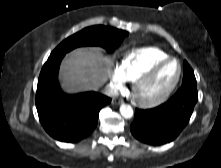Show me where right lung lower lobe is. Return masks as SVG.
I'll return each mask as SVG.
<instances>
[{
  "mask_svg": "<svg viewBox=\"0 0 221 168\" xmlns=\"http://www.w3.org/2000/svg\"><path fill=\"white\" fill-rule=\"evenodd\" d=\"M63 57L50 56L42 67L36 91V107L39 120L51 137L75 143L95 129L99 111L111 99L96 92L76 95L64 93L57 77Z\"/></svg>",
  "mask_w": 221,
  "mask_h": 168,
  "instance_id": "right-lung-lower-lobe-1",
  "label": "right lung lower lobe"
}]
</instances>
